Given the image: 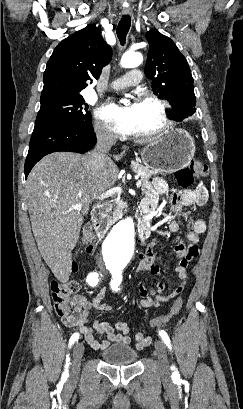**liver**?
<instances>
[{
    "label": "liver",
    "mask_w": 243,
    "mask_h": 409,
    "mask_svg": "<svg viewBox=\"0 0 243 409\" xmlns=\"http://www.w3.org/2000/svg\"><path fill=\"white\" fill-rule=\"evenodd\" d=\"M118 172L107 157L103 170L95 174L86 155L72 152L51 153L31 170L26 194L32 231L41 256L59 281L69 280L71 251L92 200L115 184ZM77 203L83 209L70 210Z\"/></svg>",
    "instance_id": "liver-1"
}]
</instances>
